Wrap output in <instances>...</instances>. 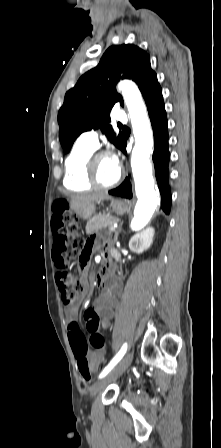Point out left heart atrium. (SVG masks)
Returning a JSON list of instances; mask_svg holds the SVG:
<instances>
[{
    "label": "left heart atrium",
    "mask_w": 221,
    "mask_h": 448,
    "mask_svg": "<svg viewBox=\"0 0 221 448\" xmlns=\"http://www.w3.org/2000/svg\"><path fill=\"white\" fill-rule=\"evenodd\" d=\"M112 160H113L114 166L119 170V161H118V158L115 157V156H113V157H112Z\"/></svg>",
    "instance_id": "1"
}]
</instances>
